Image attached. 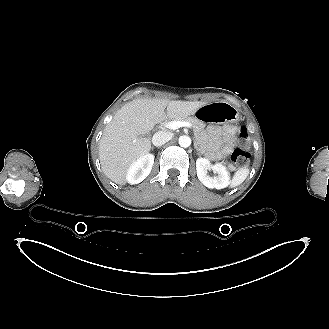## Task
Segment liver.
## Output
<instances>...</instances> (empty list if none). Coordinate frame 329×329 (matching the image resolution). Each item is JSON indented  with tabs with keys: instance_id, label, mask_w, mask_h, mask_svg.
Wrapping results in <instances>:
<instances>
[{
	"instance_id": "6515ba94",
	"label": "liver",
	"mask_w": 329,
	"mask_h": 329,
	"mask_svg": "<svg viewBox=\"0 0 329 329\" xmlns=\"http://www.w3.org/2000/svg\"><path fill=\"white\" fill-rule=\"evenodd\" d=\"M205 104L207 102L166 99H136L125 104L100 139L99 158L104 174L116 184L125 185L130 166L151 148L150 139L143 136L165 119L194 115Z\"/></svg>"
}]
</instances>
